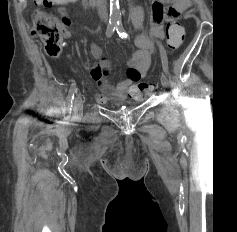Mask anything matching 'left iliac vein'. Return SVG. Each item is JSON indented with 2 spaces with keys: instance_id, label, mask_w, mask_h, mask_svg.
Instances as JSON below:
<instances>
[{
  "instance_id": "left-iliac-vein-1",
  "label": "left iliac vein",
  "mask_w": 237,
  "mask_h": 232,
  "mask_svg": "<svg viewBox=\"0 0 237 232\" xmlns=\"http://www.w3.org/2000/svg\"><path fill=\"white\" fill-rule=\"evenodd\" d=\"M161 84L163 87H167L169 85L168 77L164 73L161 75Z\"/></svg>"
}]
</instances>
